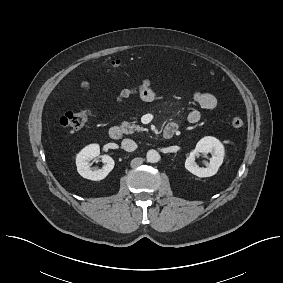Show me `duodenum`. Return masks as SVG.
I'll return each mask as SVG.
<instances>
[{
	"instance_id": "1",
	"label": "duodenum",
	"mask_w": 283,
	"mask_h": 283,
	"mask_svg": "<svg viewBox=\"0 0 283 283\" xmlns=\"http://www.w3.org/2000/svg\"><path fill=\"white\" fill-rule=\"evenodd\" d=\"M177 131V126L174 124H168L163 130L162 136L165 139L172 138ZM109 136L111 139L118 140L122 136V131L118 126H113L109 129Z\"/></svg>"
}]
</instances>
